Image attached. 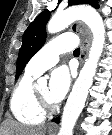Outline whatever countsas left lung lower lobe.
I'll use <instances>...</instances> for the list:
<instances>
[{
  "label": "left lung lower lobe",
  "mask_w": 112,
  "mask_h": 135,
  "mask_svg": "<svg viewBox=\"0 0 112 135\" xmlns=\"http://www.w3.org/2000/svg\"><path fill=\"white\" fill-rule=\"evenodd\" d=\"M53 121H55V122H59V118L57 117V118H55Z\"/></svg>",
  "instance_id": "1"
}]
</instances>
